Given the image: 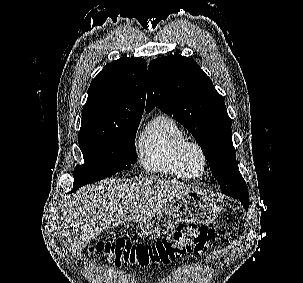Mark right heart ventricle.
Instances as JSON below:
<instances>
[{"mask_svg":"<svg viewBox=\"0 0 303 283\" xmlns=\"http://www.w3.org/2000/svg\"><path fill=\"white\" fill-rule=\"evenodd\" d=\"M187 142L184 130L172 117L156 116L148 123L139 141L142 167L172 178L189 179L182 161V151Z\"/></svg>","mask_w":303,"mask_h":283,"instance_id":"e07e8e85","label":"right heart ventricle"}]
</instances>
